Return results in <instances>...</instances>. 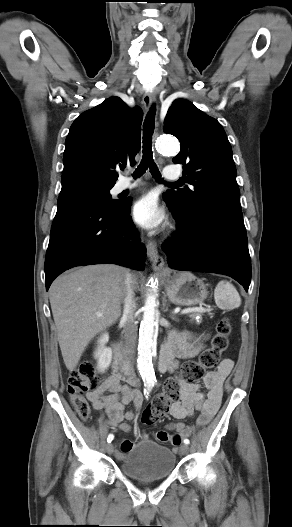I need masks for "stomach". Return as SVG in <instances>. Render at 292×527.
I'll use <instances>...</instances> for the list:
<instances>
[{"mask_svg": "<svg viewBox=\"0 0 292 527\" xmlns=\"http://www.w3.org/2000/svg\"><path fill=\"white\" fill-rule=\"evenodd\" d=\"M163 277L167 296L176 305H196L208 296L203 281L189 272L169 271Z\"/></svg>", "mask_w": 292, "mask_h": 527, "instance_id": "0dacf381", "label": "stomach"}]
</instances>
